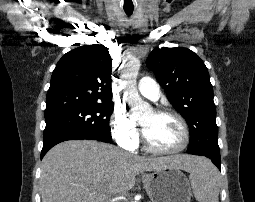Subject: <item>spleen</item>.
<instances>
[{
	"label": "spleen",
	"mask_w": 255,
	"mask_h": 202,
	"mask_svg": "<svg viewBox=\"0 0 255 202\" xmlns=\"http://www.w3.org/2000/svg\"><path fill=\"white\" fill-rule=\"evenodd\" d=\"M189 179L199 202H219L220 173L209 160L202 158L190 172Z\"/></svg>",
	"instance_id": "3e777b00"
}]
</instances>
